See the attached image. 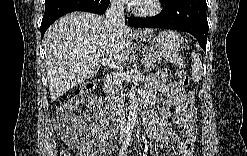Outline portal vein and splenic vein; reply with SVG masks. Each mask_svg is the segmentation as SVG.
<instances>
[{
    "label": "portal vein and splenic vein",
    "instance_id": "portal-vein-and-splenic-vein-1",
    "mask_svg": "<svg viewBox=\"0 0 247 156\" xmlns=\"http://www.w3.org/2000/svg\"><path fill=\"white\" fill-rule=\"evenodd\" d=\"M93 59H94V58H92V57H89V58H88L89 61H93ZM146 62H147V59L144 58V59L142 60V63L145 64ZM117 68L120 69L119 67H117ZM120 70H121V69H120Z\"/></svg>",
    "mask_w": 247,
    "mask_h": 156
}]
</instances>
